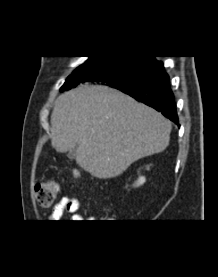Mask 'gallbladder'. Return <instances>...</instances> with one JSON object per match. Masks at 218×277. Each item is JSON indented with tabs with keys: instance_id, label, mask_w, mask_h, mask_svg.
Instances as JSON below:
<instances>
[{
	"instance_id": "1",
	"label": "gallbladder",
	"mask_w": 218,
	"mask_h": 277,
	"mask_svg": "<svg viewBox=\"0 0 218 277\" xmlns=\"http://www.w3.org/2000/svg\"><path fill=\"white\" fill-rule=\"evenodd\" d=\"M68 158L69 159H75V156H76V147L72 150H70L67 154Z\"/></svg>"
}]
</instances>
